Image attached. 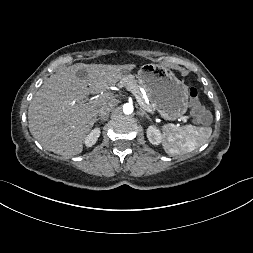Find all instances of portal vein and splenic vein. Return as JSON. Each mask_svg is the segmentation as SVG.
<instances>
[{"mask_svg":"<svg viewBox=\"0 0 253 253\" xmlns=\"http://www.w3.org/2000/svg\"><path fill=\"white\" fill-rule=\"evenodd\" d=\"M126 89H127L128 91H130V92L135 96L137 102H138L141 106H143V107L145 108L146 111H148V112H150V113H152V114L154 113L153 110H152L151 108H149L148 106L145 105V103H144L142 97H140V96L138 95V93H137L132 87H126ZM104 98H105L104 96H100L99 98H97V99H95V100H94V98H91V99L89 100V102L94 103V104H97L100 100H103ZM181 120H182L183 122H186V121H187V119H186L185 117H181Z\"/></svg>","mask_w":253,"mask_h":253,"instance_id":"18ae733b","label":"portal vein and splenic vein"}]
</instances>
